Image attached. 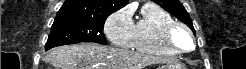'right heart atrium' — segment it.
Returning <instances> with one entry per match:
<instances>
[{
  "mask_svg": "<svg viewBox=\"0 0 246 69\" xmlns=\"http://www.w3.org/2000/svg\"><path fill=\"white\" fill-rule=\"evenodd\" d=\"M133 21L128 9H120L111 14L104 24V32L116 47L130 48L132 45Z\"/></svg>",
  "mask_w": 246,
  "mask_h": 69,
  "instance_id": "right-heart-atrium-1",
  "label": "right heart atrium"
}]
</instances>
